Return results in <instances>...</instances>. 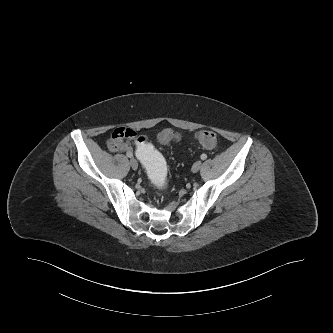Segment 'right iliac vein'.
<instances>
[{
	"label": "right iliac vein",
	"mask_w": 333,
	"mask_h": 333,
	"mask_svg": "<svg viewBox=\"0 0 333 333\" xmlns=\"http://www.w3.org/2000/svg\"><path fill=\"white\" fill-rule=\"evenodd\" d=\"M130 166H131V168L133 170H137V168H138V162H137V160L134 159V158H131L130 159Z\"/></svg>",
	"instance_id": "right-iliac-vein-1"
}]
</instances>
